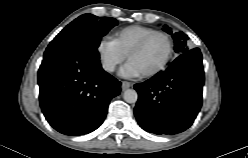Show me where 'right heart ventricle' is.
Returning <instances> with one entry per match:
<instances>
[{"instance_id":"right-heart-ventricle-1","label":"right heart ventricle","mask_w":248,"mask_h":158,"mask_svg":"<svg viewBox=\"0 0 248 158\" xmlns=\"http://www.w3.org/2000/svg\"><path fill=\"white\" fill-rule=\"evenodd\" d=\"M153 31L155 30L149 27L132 25L116 30L113 33V41L127 55L138 41Z\"/></svg>"}]
</instances>
